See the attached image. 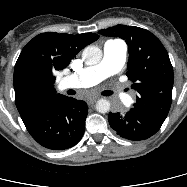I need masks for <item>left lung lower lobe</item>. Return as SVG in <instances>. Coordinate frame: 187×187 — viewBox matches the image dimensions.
<instances>
[{"instance_id":"obj_1","label":"left lung lower lobe","mask_w":187,"mask_h":187,"mask_svg":"<svg viewBox=\"0 0 187 187\" xmlns=\"http://www.w3.org/2000/svg\"><path fill=\"white\" fill-rule=\"evenodd\" d=\"M111 128L121 137L138 141L154 135L162 126L163 121L157 120L134 108L125 114L109 113Z\"/></svg>"}]
</instances>
